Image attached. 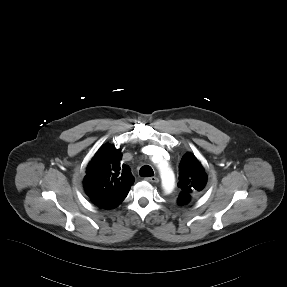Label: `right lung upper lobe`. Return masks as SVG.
<instances>
[{
    "label": "right lung upper lobe",
    "instance_id": "right-lung-upper-lobe-1",
    "mask_svg": "<svg viewBox=\"0 0 287 287\" xmlns=\"http://www.w3.org/2000/svg\"><path fill=\"white\" fill-rule=\"evenodd\" d=\"M121 158V150L107 144L102 146L89 162L83 185L95 205H118L127 196L134 177L129 166L121 164Z\"/></svg>",
    "mask_w": 287,
    "mask_h": 287
}]
</instances>
